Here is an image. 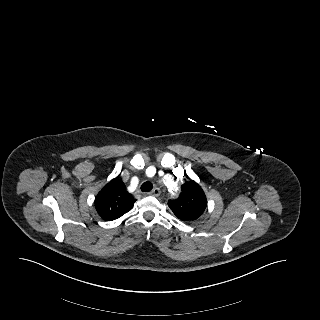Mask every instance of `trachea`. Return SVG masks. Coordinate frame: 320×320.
<instances>
[{"label":"trachea","instance_id":"3493384b","mask_svg":"<svg viewBox=\"0 0 320 320\" xmlns=\"http://www.w3.org/2000/svg\"><path fill=\"white\" fill-rule=\"evenodd\" d=\"M152 189V184L150 182H144L141 185V191L143 192H149Z\"/></svg>","mask_w":320,"mask_h":320}]
</instances>
